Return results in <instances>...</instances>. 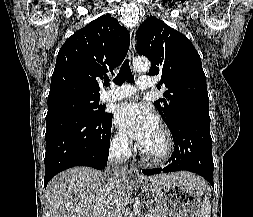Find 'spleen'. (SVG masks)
<instances>
[{"instance_id":"spleen-1","label":"spleen","mask_w":253,"mask_h":217,"mask_svg":"<svg viewBox=\"0 0 253 217\" xmlns=\"http://www.w3.org/2000/svg\"><path fill=\"white\" fill-rule=\"evenodd\" d=\"M211 214V205L208 196H204L202 205H201V217H210Z\"/></svg>"}]
</instances>
